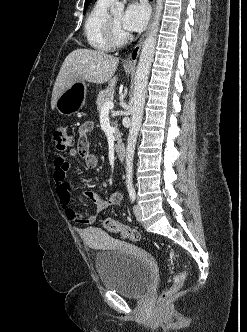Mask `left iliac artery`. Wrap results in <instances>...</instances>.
<instances>
[{"label":"left iliac artery","instance_id":"1","mask_svg":"<svg viewBox=\"0 0 247 332\" xmlns=\"http://www.w3.org/2000/svg\"><path fill=\"white\" fill-rule=\"evenodd\" d=\"M129 197H130V200H131L132 202L135 201L136 193H135V190H134V189H130V190H129Z\"/></svg>","mask_w":247,"mask_h":332}]
</instances>
